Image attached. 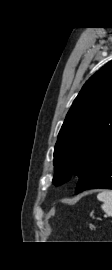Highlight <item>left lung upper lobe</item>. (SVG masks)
<instances>
[{
	"instance_id": "1",
	"label": "left lung upper lobe",
	"mask_w": 112,
	"mask_h": 270,
	"mask_svg": "<svg viewBox=\"0 0 112 270\" xmlns=\"http://www.w3.org/2000/svg\"><path fill=\"white\" fill-rule=\"evenodd\" d=\"M112 147V61L84 84L59 132L54 185L83 179Z\"/></svg>"
}]
</instances>
